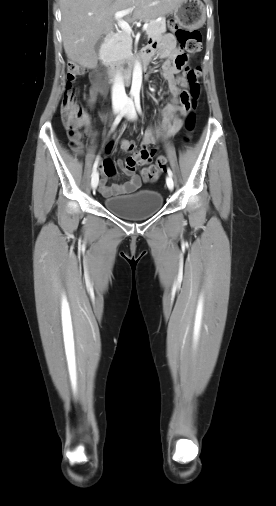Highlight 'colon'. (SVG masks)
Instances as JSON below:
<instances>
[{"label":"colon","mask_w":276,"mask_h":506,"mask_svg":"<svg viewBox=\"0 0 276 506\" xmlns=\"http://www.w3.org/2000/svg\"><path fill=\"white\" fill-rule=\"evenodd\" d=\"M169 29L174 32L182 48L188 54L197 53L202 46V37L199 31H187L180 28L176 19L169 20ZM183 64L186 62V57L181 61ZM82 73L81 69L74 63L68 66V87L63 97L61 104V116L63 125L67 131L69 138L70 148L77 152L82 146L83 134L81 127L85 125V113L81 110L78 99L75 93L74 83L78 76ZM98 77L103 79V74L98 72ZM200 70L198 68L187 70L184 74L179 76L177 83L180 86H186L187 90L180 93L179 101L184 109L188 111L185 128L188 133H191L196 125L195 109L198 99L200 97ZM189 139L185 138V142ZM123 149L131 151L132 147L127 144V141L122 143ZM155 154V149L147 148L129 156L126 160V166L134 169L145 165L148 156ZM165 170V159L159 158L157 162L149 167L141 170V175L146 183H156Z\"/></svg>","instance_id":"1"}]
</instances>
